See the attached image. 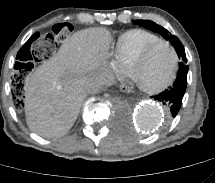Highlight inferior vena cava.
<instances>
[{
    "label": "inferior vena cava",
    "instance_id": "1",
    "mask_svg": "<svg viewBox=\"0 0 215 183\" xmlns=\"http://www.w3.org/2000/svg\"><path fill=\"white\" fill-rule=\"evenodd\" d=\"M111 76L109 74H104L103 76L97 77L94 80H90L85 83L84 88L86 92L91 93L99 90L102 86L110 83Z\"/></svg>",
    "mask_w": 215,
    "mask_h": 183
}]
</instances>
